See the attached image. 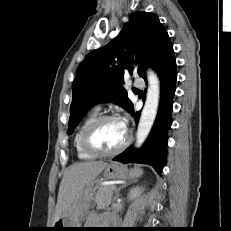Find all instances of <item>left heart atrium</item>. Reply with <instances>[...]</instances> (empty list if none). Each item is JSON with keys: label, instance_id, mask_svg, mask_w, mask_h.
<instances>
[{"label": "left heart atrium", "instance_id": "1", "mask_svg": "<svg viewBox=\"0 0 231 231\" xmlns=\"http://www.w3.org/2000/svg\"><path fill=\"white\" fill-rule=\"evenodd\" d=\"M121 126L123 127L124 130L127 129V120L126 119H122L121 121H119Z\"/></svg>", "mask_w": 231, "mask_h": 231}]
</instances>
